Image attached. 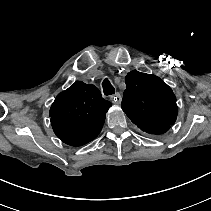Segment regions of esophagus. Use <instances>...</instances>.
Segmentation results:
<instances>
[{
	"label": "esophagus",
	"instance_id": "obj_1",
	"mask_svg": "<svg viewBox=\"0 0 211 211\" xmlns=\"http://www.w3.org/2000/svg\"><path fill=\"white\" fill-rule=\"evenodd\" d=\"M111 101L114 103V104H120L121 101H122V97L120 95L119 92H117L114 96L111 97Z\"/></svg>",
	"mask_w": 211,
	"mask_h": 211
}]
</instances>
